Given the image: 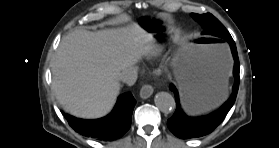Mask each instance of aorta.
Returning <instances> with one entry per match:
<instances>
[{
    "instance_id": "aorta-1",
    "label": "aorta",
    "mask_w": 279,
    "mask_h": 148,
    "mask_svg": "<svg viewBox=\"0 0 279 148\" xmlns=\"http://www.w3.org/2000/svg\"><path fill=\"white\" fill-rule=\"evenodd\" d=\"M154 101L157 108L163 113H170L176 106L175 99L168 92L157 93Z\"/></svg>"
}]
</instances>
